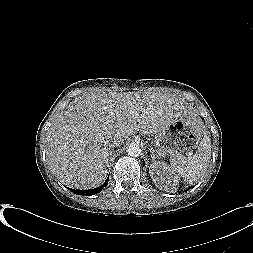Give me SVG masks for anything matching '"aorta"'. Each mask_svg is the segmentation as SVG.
Here are the masks:
<instances>
[{
    "mask_svg": "<svg viewBox=\"0 0 253 253\" xmlns=\"http://www.w3.org/2000/svg\"><path fill=\"white\" fill-rule=\"evenodd\" d=\"M127 154L131 157H137L141 154L142 150L136 143H131L126 150Z\"/></svg>",
    "mask_w": 253,
    "mask_h": 253,
    "instance_id": "aorta-1",
    "label": "aorta"
}]
</instances>
